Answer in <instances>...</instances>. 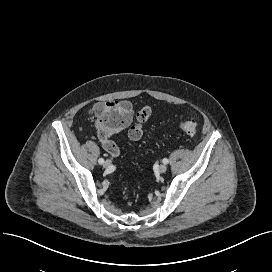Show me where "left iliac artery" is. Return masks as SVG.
<instances>
[{
	"instance_id": "1",
	"label": "left iliac artery",
	"mask_w": 272,
	"mask_h": 272,
	"mask_svg": "<svg viewBox=\"0 0 272 272\" xmlns=\"http://www.w3.org/2000/svg\"><path fill=\"white\" fill-rule=\"evenodd\" d=\"M168 162H169L168 159H166V158L163 159L164 164H168Z\"/></svg>"
}]
</instances>
